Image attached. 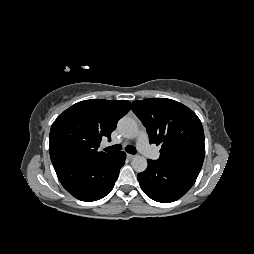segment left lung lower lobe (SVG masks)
Here are the masks:
<instances>
[{"label": "left lung lower lobe", "instance_id": "obj_1", "mask_svg": "<svg viewBox=\"0 0 254 254\" xmlns=\"http://www.w3.org/2000/svg\"><path fill=\"white\" fill-rule=\"evenodd\" d=\"M147 169L137 175L144 193L151 199L169 203L182 197L195 183L199 172L196 170L162 165L148 159Z\"/></svg>", "mask_w": 254, "mask_h": 254}]
</instances>
